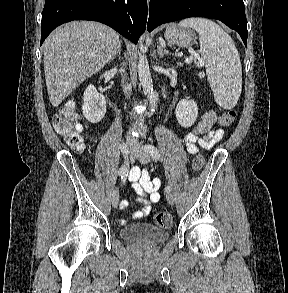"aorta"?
<instances>
[{"label": "aorta", "instance_id": "aorta-1", "mask_svg": "<svg viewBox=\"0 0 288 293\" xmlns=\"http://www.w3.org/2000/svg\"><path fill=\"white\" fill-rule=\"evenodd\" d=\"M145 49L146 47L142 45L141 47L142 54H140L139 62H138V75H139L140 83L145 93L147 94L150 106L152 110H154V108L157 105L158 94L153 89V83H152L147 56L144 54Z\"/></svg>", "mask_w": 288, "mask_h": 293}]
</instances>
